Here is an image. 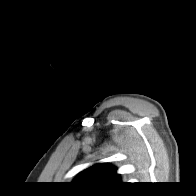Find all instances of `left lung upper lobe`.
I'll return each mask as SVG.
<instances>
[{
  "label": "left lung upper lobe",
  "mask_w": 196,
  "mask_h": 196,
  "mask_svg": "<svg viewBox=\"0 0 196 196\" xmlns=\"http://www.w3.org/2000/svg\"><path fill=\"white\" fill-rule=\"evenodd\" d=\"M119 175L116 169L108 164L93 165L79 174L75 184L84 186H107L119 184Z\"/></svg>",
  "instance_id": "left-lung-upper-lobe-1"
}]
</instances>
